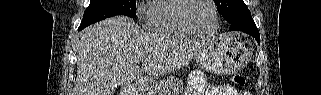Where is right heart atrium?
<instances>
[{
  "label": "right heart atrium",
  "mask_w": 321,
  "mask_h": 95,
  "mask_svg": "<svg viewBox=\"0 0 321 95\" xmlns=\"http://www.w3.org/2000/svg\"><path fill=\"white\" fill-rule=\"evenodd\" d=\"M152 1H143L137 4L136 16L140 21H145L149 17Z\"/></svg>",
  "instance_id": "right-heart-atrium-1"
}]
</instances>
